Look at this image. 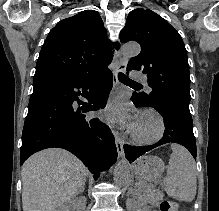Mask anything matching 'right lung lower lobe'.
Here are the masks:
<instances>
[{
    "mask_svg": "<svg viewBox=\"0 0 219 211\" xmlns=\"http://www.w3.org/2000/svg\"><path fill=\"white\" fill-rule=\"evenodd\" d=\"M112 84L113 76L107 67L88 77L34 79L20 164L37 151L58 147L76 155L95 174L94 179L110 168L117 158L111 130L99 118L82 113L104 108Z\"/></svg>",
    "mask_w": 219,
    "mask_h": 211,
    "instance_id": "right-lung-lower-lobe-1",
    "label": "right lung lower lobe"
}]
</instances>
